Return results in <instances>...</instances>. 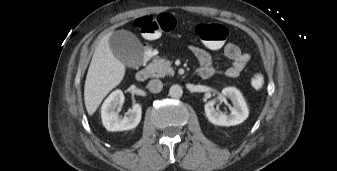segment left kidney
<instances>
[{"mask_svg": "<svg viewBox=\"0 0 337 171\" xmlns=\"http://www.w3.org/2000/svg\"><path fill=\"white\" fill-rule=\"evenodd\" d=\"M223 96L233 103L229 114H223L214 108L216 100L207 102L204 106L208 120L219 126H234L242 123L249 115V110L241 92L234 87H226L222 90Z\"/></svg>", "mask_w": 337, "mask_h": 171, "instance_id": "obj_1", "label": "left kidney"}]
</instances>
